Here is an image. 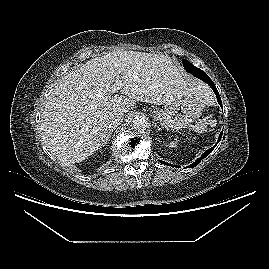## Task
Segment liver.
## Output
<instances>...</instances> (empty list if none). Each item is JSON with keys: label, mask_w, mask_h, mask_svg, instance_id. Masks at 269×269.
I'll return each mask as SVG.
<instances>
[{"label": "liver", "mask_w": 269, "mask_h": 269, "mask_svg": "<svg viewBox=\"0 0 269 269\" xmlns=\"http://www.w3.org/2000/svg\"><path fill=\"white\" fill-rule=\"evenodd\" d=\"M117 80L122 95H113ZM190 96L213 102L210 89L181 73L169 56L117 50L57 82L41 116L42 137L61 164L79 163L103 146L111 112L128 113L137 101L169 105Z\"/></svg>", "instance_id": "obj_1"}]
</instances>
